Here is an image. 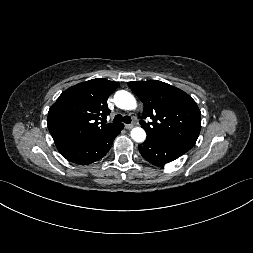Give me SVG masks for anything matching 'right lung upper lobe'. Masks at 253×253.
<instances>
[{
	"label": "right lung upper lobe",
	"mask_w": 253,
	"mask_h": 253,
	"mask_svg": "<svg viewBox=\"0 0 253 253\" xmlns=\"http://www.w3.org/2000/svg\"><path fill=\"white\" fill-rule=\"evenodd\" d=\"M118 82L88 80L65 90L50 107L48 129L59 152L109 132L120 124L106 123L109 95Z\"/></svg>",
	"instance_id": "right-lung-upper-lobe-1"
}]
</instances>
